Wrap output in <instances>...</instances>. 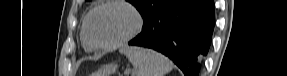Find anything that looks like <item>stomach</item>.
I'll list each match as a JSON object with an SVG mask.
<instances>
[{"instance_id":"stomach-1","label":"stomach","mask_w":287,"mask_h":76,"mask_svg":"<svg viewBox=\"0 0 287 76\" xmlns=\"http://www.w3.org/2000/svg\"><path fill=\"white\" fill-rule=\"evenodd\" d=\"M117 67L118 66L113 63L104 65L102 69L99 72L95 73L93 76H110L116 71Z\"/></svg>"}]
</instances>
